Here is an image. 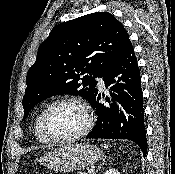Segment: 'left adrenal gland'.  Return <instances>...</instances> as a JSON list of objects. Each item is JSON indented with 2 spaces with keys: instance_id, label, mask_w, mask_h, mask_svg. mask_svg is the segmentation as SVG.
I'll return each instance as SVG.
<instances>
[{
  "instance_id": "obj_1",
  "label": "left adrenal gland",
  "mask_w": 175,
  "mask_h": 174,
  "mask_svg": "<svg viewBox=\"0 0 175 174\" xmlns=\"http://www.w3.org/2000/svg\"><path fill=\"white\" fill-rule=\"evenodd\" d=\"M104 164H105V159H103V163L101 164V166L104 165Z\"/></svg>"
}]
</instances>
